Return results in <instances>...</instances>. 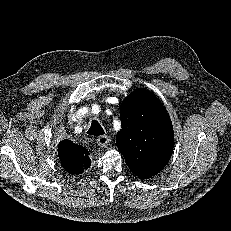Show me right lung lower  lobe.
Here are the masks:
<instances>
[{
  "mask_svg": "<svg viewBox=\"0 0 231 231\" xmlns=\"http://www.w3.org/2000/svg\"><path fill=\"white\" fill-rule=\"evenodd\" d=\"M61 145H63L64 147L68 148V149H72V150H77V151H86L88 152L87 149H85L83 146L81 145H77L75 143H73L70 140H63L61 141Z\"/></svg>",
  "mask_w": 231,
  "mask_h": 231,
  "instance_id": "1",
  "label": "right lung lower lobe"
}]
</instances>
